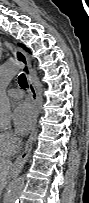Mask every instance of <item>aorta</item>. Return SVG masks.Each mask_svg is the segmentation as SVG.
<instances>
[{"instance_id":"aorta-1","label":"aorta","mask_w":89,"mask_h":203,"mask_svg":"<svg viewBox=\"0 0 89 203\" xmlns=\"http://www.w3.org/2000/svg\"><path fill=\"white\" fill-rule=\"evenodd\" d=\"M19 70V66L15 61L5 63L0 69V84L6 87L14 78ZM12 118V108L9 98L6 94L0 95V126L8 128ZM24 185V176L16 177L9 185L7 194L3 199V203H19L20 195Z\"/></svg>"}]
</instances>
